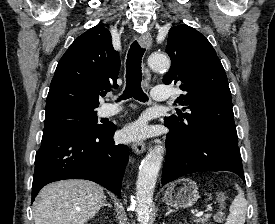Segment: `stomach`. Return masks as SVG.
Here are the masks:
<instances>
[{"label": "stomach", "instance_id": "stomach-1", "mask_svg": "<svg viewBox=\"0 0 275 224\" xmlns=\"http://www.w3.org/2000/svg\"><path fill=\"white\" fill-rule=\"evenodd\" d=\"M199 198L196 183L188 178H181L171 183L165 190L164 201L175 208L193 206Z\"/></svg>", "mask_w": 275, "mask_h": 224}]
</instances>
